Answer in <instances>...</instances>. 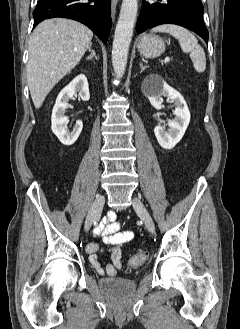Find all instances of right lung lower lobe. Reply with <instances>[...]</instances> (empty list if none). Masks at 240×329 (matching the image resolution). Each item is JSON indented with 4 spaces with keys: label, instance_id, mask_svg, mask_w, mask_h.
I'll return each instance as SVG.
<instances>
[{
    "label": "right lung lower lobe",
    "instance_id": "obj_1",
    "mask_svg": "<svg viewBox=\"0 0 240 329\" xmlns=\"http://www.w3.org/2000/svg\"><path fill=\"white\" fill-rule=\"evenodd\" d=\"M110 12L111 0H38L33 26L49 18L73 19L88 26L106 43L112 26Z\"/></svg>",
    "mask_w": 240,
    "mask_h": 329
}]
</instances>
